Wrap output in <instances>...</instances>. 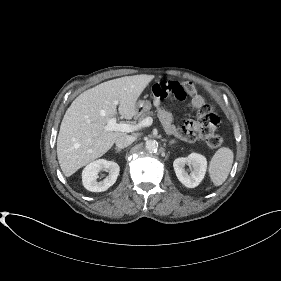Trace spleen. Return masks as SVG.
I'll return each mask as SVG.
<instances>
[{"label": "spleen", "mask_w": 281, "mask_h": 281, "mask_svg": "<svg viewBox=\"0 0 281 281\" xmlns=\"http://www.w3.org/2000/svg\"><path fill=\"white\" fill-rule=\"evenodd\" d=\"M233 151L227 147L219 148L209 163V176L215 186L222 185L232 168Z\"/></svg>", "instance_id": "obj_1"}]
</instances>
